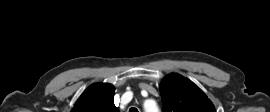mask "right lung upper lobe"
Masks as SVG:
<instances>
[{
  "label": "right lung upper lobe",
  "mask_w": 270,
  "mask_h": 112,
  "mask_svg": "<svg viewBox=\"0 0 270 112\" xmlns=\"http://www.w3.org/2000/svg\"><path fill=\"white\" fill-rule=\"evenodd\" d=\"M115 88L111 84L96 83L80 96L71 112H120L114 105Z\"/></svg>",
  "instance_id": "1"
}]
</instances>
